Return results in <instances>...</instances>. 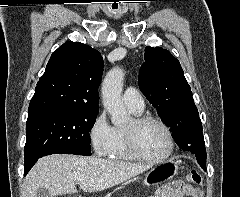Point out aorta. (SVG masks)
<instances>
[{"label": "aorta", "instance_id": "aorta-1", "mask_svg": "<svg viewBox=\"0 0 240 197\" xmlns=\"http://www.w3.org/2000/svg\"><path fill=\"white\" fill-rule=\"evenodd\" d=\"M123 80L124 71L114 67L105 76L101 90L103 105L110 114L111 122L118 127L127 125L131 119L121 98Z\"/></svg>", "mask_w": 240, "mask_h": 197}]
</instances>
